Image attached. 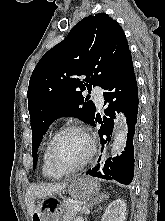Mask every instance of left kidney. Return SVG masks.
Masks as SVG:
<instances>
[{
    "mask_svg": "<svg viewBox=\"0 0 165 221\" xmlns=\"http://www.w3.org/2000/svg\"><path fill=\"white\" fill-rule=\"evenodd\" d=\"M126 211V203L121 199H117L107 207L102 221H125L127 215Z\"/></svg>",
    "mask_w": 165,
    "mask_h": 221,
    "instance_id": "obj_1",
    "label": "left kidney"
}]
</instances>
